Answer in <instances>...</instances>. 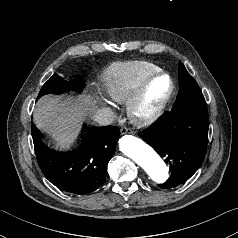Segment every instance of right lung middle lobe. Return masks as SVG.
<instances>
[{"mask_svg":"<svg viewBox=\"0 0 238 238\" xmlns=\"http://www.w3.org/2000/svg\"><path fill=\"white\" fill-rule=\"evenodd\" d=\"M80 86L77 80L66 81L56 73L43 85L37 98L45 94H62L69 90H76Z\"/></svg>","mask_w":238,"mask_h":238,"instance_id":"dd1d6c3e","label":"right lung middle lobe"}]
</instances>
